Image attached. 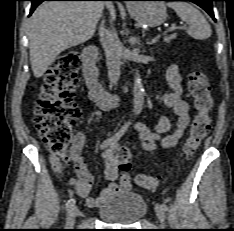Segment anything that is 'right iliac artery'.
<instances>
[{
  "label": "right iliac artery",
  "mask_w": 234,
  "mask_h": 231,
  "mask_svg": "<svg viewBox=\"0 0 234 231\" xmlns=\"http://www.w3.org/2000/svg\"><path fill=\"white\" fill-rule=\"evenodd\" d=\"M128 128V123L124 124V126H122V128L112 137V140L114 141H118L122 135L125 133V131L127 130ZM102 147V145H101ZM75 204V199L74 198H71L67 201L66 203V209L69 210L71 207H73Z\"/></svg>",
  "instance_id": "right-iliac-artery-1"
}]
</instances>
